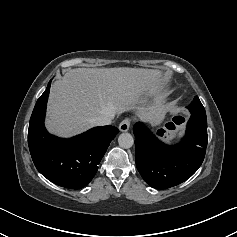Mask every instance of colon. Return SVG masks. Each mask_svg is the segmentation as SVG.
<instances>
[{
	"instance_id": "colon-1",
	"label": "colon",
	"mask_w": 237,
	"mask_h": 237,
	"mask_svg": "<svg viewBox=\"0 0 237 237\" xmlns=\"http://www.w3.org/2000/svg\"><path fill=\"white\" fill-rule=\"evenodd\" d=\"M185 122H186L185 117H183V116H181V115L176 116V117L173 119V123H172L171 126H170V131H171L172 133H174V132L180 130V129L184 126Z\"/></svg>"
}]
</instances>
